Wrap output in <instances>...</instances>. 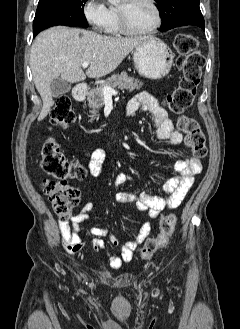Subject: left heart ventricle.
<instances>
[{
    "label": "left heart ventricle",
    "instance_id": "1",
    "mask_svg": "<svg viewBox=\"0 0 240 329\" xmlns=\"http://www.w3.org/2000/svg\"><path fill=\"white\" fill-rule=\"evenodd\" d=\"M118 7L124 9L129 26L134 30H144L155 22V12L147 0H122Z\"/></svg>",
    "mask_w": 240,
    "mask_h": 329
}]
</instances>
